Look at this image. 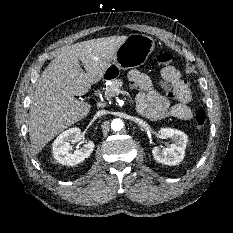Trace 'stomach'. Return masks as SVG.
I'll return each instance as SVG.
<instances>
[{
	"mask_svg": "<svg viewBox=\"0 0 233 233\" xmlns=\"http://www.w3.org/2000/svg\"><path fill=\"white\" fill-rule=\"evenodd\" d=\"M154 47L155 42L152 37L137 33L130 34L117 49L110 66H115L120 71L142 65Z\"/></svg>",
	"mask_w": 233,
	"mask_h": 233,
	"instance_id": "0dacf381",
	"label": "stomach"
}]
</instances>
